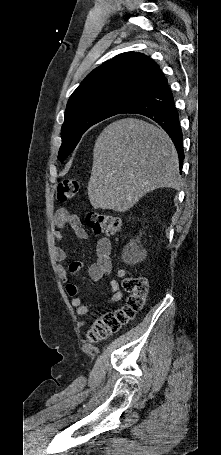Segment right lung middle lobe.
Segmentation results:
<instances>
[{
	"label": "right lung middle lobe",
	"instance_id": "obj_1",
	"mask_svg": "<svg viewBox=\"0 0 221 455\" xmlns=\"http://www.w3.org/2000/svg\"><path fill=\"white\" fill-rule=\"evenodd\" d=\"M124 108L116 103L98 102L79 106L65 114L61 129L62 145L58 159L62 162L74 150L81 136L92 125L121 114Z\"/></svg>",
	"mask_w": 221,
	"mask_h": 455
}]
</instances>
